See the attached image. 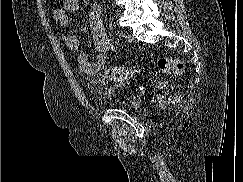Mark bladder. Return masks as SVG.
I'll list each match as a JSON object with an SVG mask.
<instances>
[{
    "label": "bladder",
    "mask_w": 243,
    "mask_h": 182,
    "mask_svg": "<svg viewBox=\"0 0 243 182\" xmlns=\"http://www.w3.org/2000/svg\"><path fill=\"white\" fill-rule=\"evenodd\" d=\"M117 106L127 111H138L142 107V100L137 96H130L123 101L117 102Z\"/></svg>",
    "instance_id": "bladder-1"
}]
</instances>
